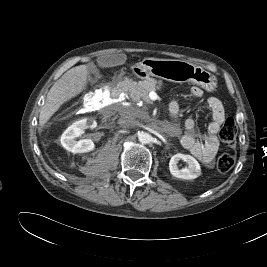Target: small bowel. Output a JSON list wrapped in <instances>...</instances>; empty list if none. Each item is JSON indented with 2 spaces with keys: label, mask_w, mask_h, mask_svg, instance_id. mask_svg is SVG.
<instances>
[{
  "label": "small bowel",
  "mask_w": 267,
  "mask_h": 267,
  "mask_svg": "<svg viewBox=\"0 0 267 267\" xmlns=\"http://www.w3.org/2000/svg\"><path fill=\"white\" fill-rule=\"evenodd\" d=\"M202 94L203 91L198 87H192L188 92V96L193 99L201 97ZM207 106L212 115L208 132L206 134L199 133L196 130L195 121L192 118H187L184 123L185 134L181 138V144L199 161L210 167L219 149L217 134L225 119V111L221 101L216 97H210L207 100ZM180 107V102L173 100L169 110L177 114Z\"/></svg>",
  "instance_id": "obj_1"
}]
</instances>
